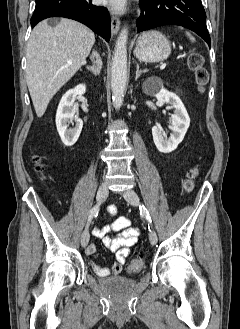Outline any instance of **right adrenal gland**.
<instances>
[{"label":"right adrenal gland","instance_id":"obj_1","mask_svg":"<svg viewBox=\"0 0 240 329\" xmlns=\"http://www.w3.org/2000/svg\"><path fill=\"white\" fill-rule=\"evenodd\" d=\"M90 59H91V61H93L94 65L87 66V69H88V71L93 73V75L97 76V75H99L101 68H102V60H101L100 56L98 55V53H96L94 51L92 52Z\"/></svg>","mask_w":240,"mask_h":329}]
</instances>
